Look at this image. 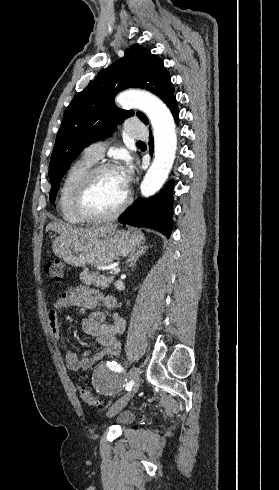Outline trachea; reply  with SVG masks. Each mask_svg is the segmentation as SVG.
Masks as SVG:
<instances>
[{
  "label": "trachea",
  "instance_id": "3493384b",
  "mask_svg": "<svg viewBox=\"0 0 279 490\" xmlns=\"http://www.w3.org/2000/svg\"><path fill=\"white\" fill-rule=\"evenodd\" d=\"M137 143L143 144L144 142H141V141H140V142H137Z\"/></svg>",
  "mask_w": 279,
  "mask_h": 490
}]
</instances>
